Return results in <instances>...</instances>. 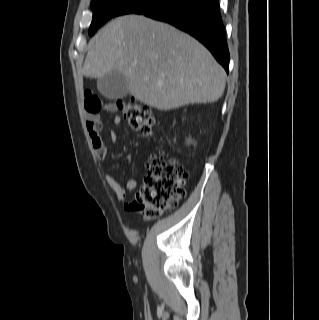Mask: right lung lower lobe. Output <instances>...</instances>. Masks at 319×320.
<instances>
[{
    "mask_svg": "<svg viewBox=\"0 0 319 320\" xmlns=\"http://www.w3.org/2000/svg\"><path fill=\"white\" fill-rule=\"evenodd\" d=\"M138 14L167 22L203 43L229 71V51L219 0H166Z\"/></svg>",
    "mask_w": 319,
    "mask_h": 320,
    "instance_id": "1",
    "label": "right lung lower lobe"
}]
</instances>
